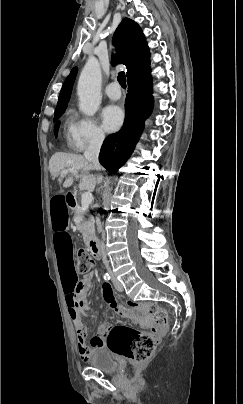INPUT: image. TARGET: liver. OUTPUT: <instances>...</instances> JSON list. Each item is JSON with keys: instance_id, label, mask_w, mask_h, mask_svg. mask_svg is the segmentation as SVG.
<instances>
[{"instance_id": "6515ba94", "label": "liver", "mask_w": 243, "mask_h": 404, "mask_svg": "<svg viewBox=\"0 0 243 404\" xmlns=\"http://www.w3.org/2000/svg\"><path fill=\"white\" fill-rule=\"evenodd\" d=\"M50 174L54 180L60 176L62 170H82V182L79 184L80 190H88L93 192L96 186V178L89 174L90 170H94L91 162H88L84 156H77V154H64V152H56L49 160ZM73 178L69 176L66 178L63 188L72 186Z\"/></svg>"}]
</instances>
